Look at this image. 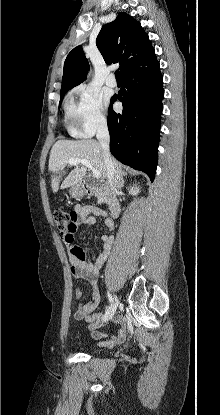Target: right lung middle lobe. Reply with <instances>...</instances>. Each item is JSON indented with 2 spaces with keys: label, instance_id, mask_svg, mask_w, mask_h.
Instances as JSON below:
<instances>
[{
  "label": "right lung middle lobe",
  "instance_id": "1",
  "mask_svg": "<svg viewBox=\"0 0 220 415\" xmlns=\"http://www.w3.org/2000/svg\"><path fill=\"white\" fill-rule=\"evenodd\" d=\"M67 92H64V93H60V97H61V100H60V103H59V105L61 104V102H62V99H63V96L66 94Z\"/></svg>",
  "mask_w": 220,
  "mask_h": 415
}]
</instances>
